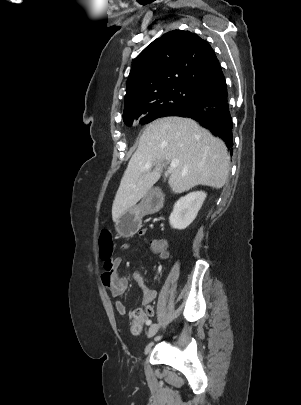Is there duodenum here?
<instances>
[{
    "label": "duodenum",
    "instance_id": "410a0bca",
    "mask_svg": "<svg viewBox=\"0 0 301 405\" xmlns=\"http://www.w3.org/2000/svg\"><path fill=\"white\" fill-rule=\"evenodd\" d=\"M163 190H145L141 205V217L147 218L149 213H161L162 208L166 207Z\"/></svg>",
    "mask_w": 301,
    "mask_h": 405
}]
</instances>
